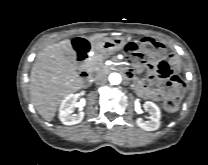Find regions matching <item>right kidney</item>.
Instances as JSON below:
<instances>
[{
    "label": "right kidney",
    "mask_w": 208,
    "mask_h": 165,
    "mask_svg": "<svg viewBox=\"0 0 208 165\" xmlns=\"http://www.w3.org/2000/svg\"><path fill=\"white\" fill-rule=\"evenodd\" d=\"M77 98L74 94H69L59 108V119L64 125H74L80 123L84 118V112L72 114L76 105Z\"/></svg>",
    "instance_id": "obj_1"
}]
</instances>
